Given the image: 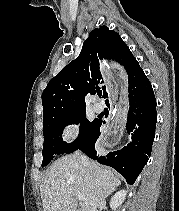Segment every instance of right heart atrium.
Instances as JSON below:
<instances>
[{"instance_id":"right-heart-atrium-1","label":"right heart atrium","mask_w":179,"mask_h":211,"mask_svg":"<svg viewBox=\"0 0 179 211\" xmlns=\"http://www.w3.org/2000/svg\"><path fill=\"white\" fill-rule=\"evenodd\" d=\"M79 130L80 125L77 121H69L64 125L61 137L65 142H71L78 136Z\"/></svg>"}]
</instances>
